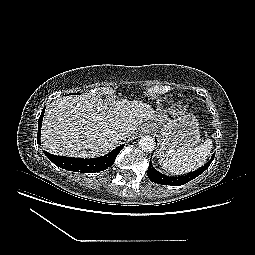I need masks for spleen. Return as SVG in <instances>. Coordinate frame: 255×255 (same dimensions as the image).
<instances>
[{"mask_svg":"<svg viewBox=\"0 0 255 255\" xmlns=\"http://www.w3.org/2000/svg\"><path fill=\"white\" fill-rule=\"evenodd\" d=\"M212 148V140L207 139L205 142L195 147L179 153L176 156H159L161 167L172 174H184L194 171L201 167L207 160Z\"/></svg>","mask_w":255,"mask_h":255,"instance_id":"1","label":"spleen"}]
</instances>
